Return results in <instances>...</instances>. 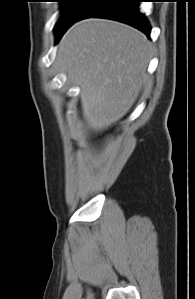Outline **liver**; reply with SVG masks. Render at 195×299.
<instances>
[{
	"mask_svg": "<svg viewBox=\"0 0 195 299\" xmlns=\"http://www.w3.org/2000/svg\"><path fill=\"white\" fill-rule=\"evenodd\" d=\"M150 54L143 33L111 20L86 19L64 34L55 64L80 87L88 129L105 130L130 110L147 79Z\"/></svg>",
	"mask_w": 195,
	"mask_h": 299,
	"instance_id": "6515ba94",
	"label": "liver"
}]
</instances>
